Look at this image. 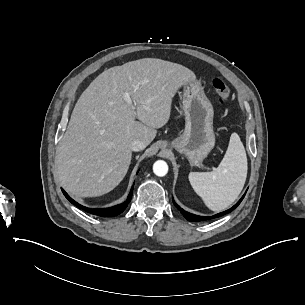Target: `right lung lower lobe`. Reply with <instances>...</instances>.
<instances>
[{"label":"right lung lower lobe","mask_w":305,"mask_h":305,"mask_svg":"<svg viewBox=\"0 0 305 305\" xmlns=\"http://www.w3.org/2000/svg\"><path fill=\"white\" fill-rule=\"evenodd\" d=\"M132 190H133V187L128 195V198L125 202L119 204V205H116V206H113V207H110V208H101V209H90V208H87L85 206H82L80 204H78L77 202H75L72 198H70L68 196V194L63 190V193L64 195L66 196V198L74 205H76L77 207L83 209L84 211H87L91 214H95V215H98V216H102V217H111V216H116V215H119L120 213H122L126 207L128 206V204L130 203L131 201V197H132Z\"/></svg>","instance_id":"right-lung-lower-lobe-1"}]
</instances>
